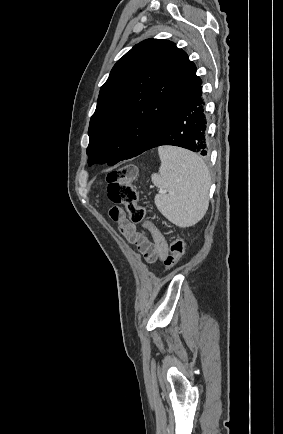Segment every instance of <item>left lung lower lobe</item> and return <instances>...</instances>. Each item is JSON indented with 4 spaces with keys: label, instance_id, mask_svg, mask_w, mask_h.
<instances>
[{
    "label": "left lung lower lobe",
    "instance_id": "obj_1",
    "mask_svg": "<svg viewBox=\"0 0 283 434\" xmlns=\"http://www.w3.org/2000/svg\"><path fill=\"white\" fill-rule=\"evenodd\" d=\"M207 121L201 84L168 114L144 151L174 145L207 155Z\"/></svg>",
    "mask_w": 283,
    "mask_h": 434
}]
</instances>
